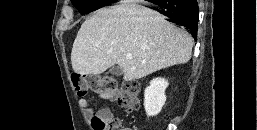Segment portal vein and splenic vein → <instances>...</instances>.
<instances>
[{
    "label": "portal vein and splenic vein",
    "instance_id": "obj_1",
    "mask_svg": "<svg viewBox=\"0 0 257 130\" xmlns=\"http://www.w3.org/2000/svg\"><path fill=\"white\" fill-rule=\"evenodd\" d=\"M126 58L127 59H132V55L131 54H126Z\"/></svg>",
    "mask_w": 257,
    "mask_h": 130
}]
</instances>
